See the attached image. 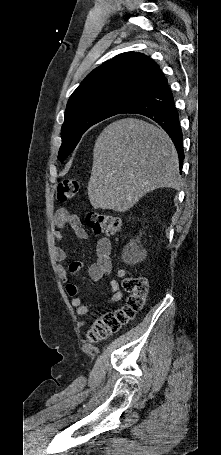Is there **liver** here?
I'll use <instances>...</instances> for the list:
<instances>
[{"instance_id":"liver-1","label":"liver","mask_w":221,"mask_h":455,"mask_svg":"<svg viewBox=\"0 0 221 455\" xmlns=\"http://www.w3.org/2000/svg\"><path fill=\"white\" fill-rule=\"evenodd\" d=\"M163 187H180L178 154L167 133L134 118L105 127L93 149L87 187L92 207L125 212Z\"/></svg>"}]
</instances>
